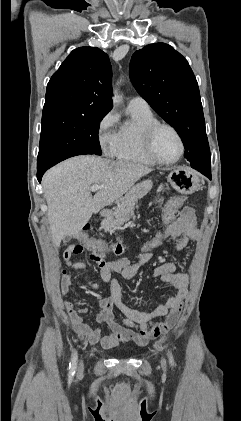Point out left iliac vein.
Wrapping results in <instances>:
<instances>
[{
	"label": "left iliac vein",
	"instance_id": "left-iliac-vein-1",
	"mask_svg": "<svg viewBox=\"0 0 241 421\" xmlns=\"http://www.w3.org/2000/svg\"><path fill=\"white\" fill-rule=\"evenodd\" d=\"M161 366H162L163 369L166 368V361L163 358L161 359Z\"/></svg>",
	"mask_w": 241,
	"mask_h": 421
}]
</instances>
